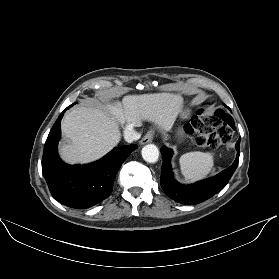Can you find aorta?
Here are the masks:
<instances>
[{
  "label": "aorta",
  "instance_id": "obj_1",
  "mask_svg": "<svg viewBox=\"0 0 279 279\" xmlns=\"http://www.w3.org/2000/svg\"><path fill=\"white\" fill-rule=\"evenodd\" d=\"M143 159L148 163H156L159 159V150L156 145L148 144L141 151Z\"/></svg>",
  "mask_w": 279,
  "mask_h": 279
}]
</instances>
